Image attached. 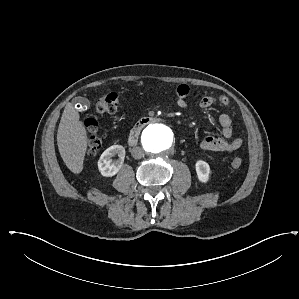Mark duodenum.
<instances>
[{
    "label": "duodenum",
    "mask_w": 299,
    "mask_h": 299,
    "mask_svg": "<svg viewBox=\"0 0 299 299\" xmlns=\"http://www.w3.org/2000/svg\"><path fill=\"white\" fill-rule=\"evenodd\" d=\"M160 121V118L155 116H146L139 119L130 130L128 142L130 145H135L142 129L150 123Z\"/></svg>",
    "instance_id": "obj_1"
}]
</instances>
